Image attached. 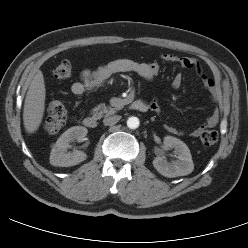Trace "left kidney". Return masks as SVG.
<instances>
[{
    "instance_id": "obj_1",
    "label": "left kidney",
    "mask_w": 248,
    "mask_h": 248,
    "mask_svg": "<svg viewBox=\"0 0 248 248\" xmlns=\"http://www.w3.org/2000/svg\"><path fill=\"white\" fill-rule=\"evenodd\" d=\"M164 144L174 149L177 160L169 163L164 157H156L153 160L154 168L165 177L173 178L190 174L194 170V164L187 145L172 136L165 137Z\"/></svg>"
}]
</instances>
